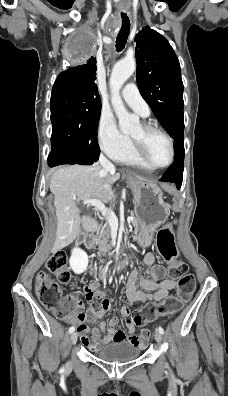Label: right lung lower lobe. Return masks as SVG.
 Returning <instances> with one entry per match:
<instances>
[{"mask_svg": "<svg viewBox=\"0 0 228 396\" xmlns=\"http://www.w3.org/2000/svg\"><path fill=\"white\" fill-rule=\"evenodd\" d=\"M62 164H76L73 161L67 160L64 157L58 156V155H53V154H49L48 157V165L49 167H54L57 165H62Z\"/></svg>", "mask_w": 228, "mask_h": 396, "instance_id": "obj_1", "label": "right lung lower lobe"}]
</instances>
